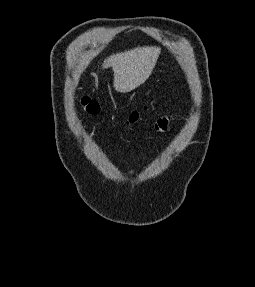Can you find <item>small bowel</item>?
I'll list each match as a JSON object with an SVG mask.
<instances>
[{
	"label": "small bowel",
	"instance_id": "obj_1",
	"mask_svg": "<svg viewBox=\"0 0 255 287\" xmlns=\"http://www.w3.org/2000/svg\"><path fill=\"white\" fill-rule=\"evenodd\" d=\"M168 120L167 119H160L157 123V128L159 130H164L167 127Z\"/></svg>",
	"mask_w": 255,
	"mask_h": 287
}]
</instances>
